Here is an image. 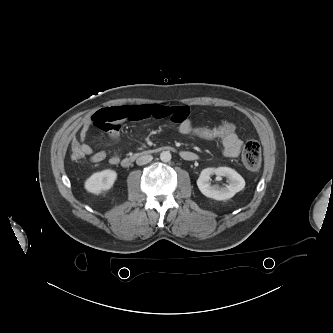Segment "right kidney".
<instances>
[{
	"label": "right kidney",
	"mask_w": 333,
	"mask_h": 333,
	"mask_svg": "<svg viewBox=\"0 0 333 333\" xmlns=\"http://www.w3.org/2000/svg\"><path fill=\"white\" fill-rule=\"evenodd\" d=\"M117 179V173L111 169H105L92 174L85 181V189L88 192L97 194L109 190Z\"/></svg>",
	"instance_id": "1"
}]
</instances>
